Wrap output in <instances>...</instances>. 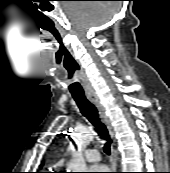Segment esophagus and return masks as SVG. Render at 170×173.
Instances as JSON below:
<instances>
[{
    "label": "esophagus",
    "instance_id": "1",
    "mask_svg": "<svg viewBox=\"0 0 170 173\" xmlns=\"http://www.w3.org/2000/svg\"><path fill=\"white\" fill-rule=\"evenodd\" d=\"M86 96L89 99V101L92 102L96 106L104 124L106 125V127L108 129L110 138L112 140L110 163H111L112 172H115L116 167H117V151L115 148L116 140H115V134H114V130H113L111 121H110L109 116L106 113L105 107L101 103L98 95L94 91H91V92H86Z\"/></svg>",
    "mask_w": 170,
    "mask_h": 173
}]
</instances>
